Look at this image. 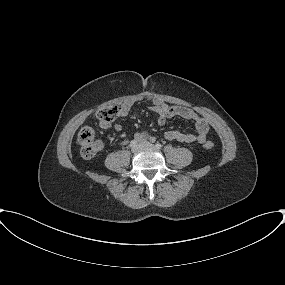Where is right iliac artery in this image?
<instances>
[{
    "label": "right iliac artery",
    "instance_id": "right-iliac-artery-1",
    "mask_svg": "<svg viewBox=\"0 0 285 285\" xmlns=\"http://www.w3.org/2000/svg\"><path fill=\"white\" fill-rule=\"evenodd\" d=\"M152 142H154V141H152ZM137 145V141L136 140H132V141H130V147H134V146H136Z\"/></svg>",
    "mask_w": 285,
    "mask_h": 285
}]
</instances>
